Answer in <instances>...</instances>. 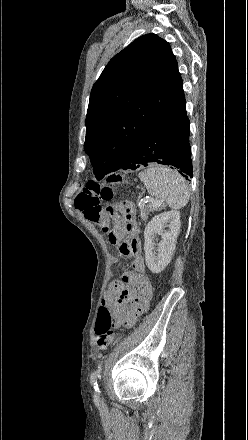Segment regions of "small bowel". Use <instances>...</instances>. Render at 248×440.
Masks as SVG:
<instances>
[{
    "label": "small bowel",
    "mask_w": 248,
    "mask_h": 440,
    "mask_svg": "<svg viewBox=\"0 0 248 440\" xmlns=\"http://www.w3.org/2000/svg\"><path fill=\"white\" fill-rule=\"evenodd\" d=\"M114 231L120 239L128 235L126 240L120 242L119 250L123 256L132 258V273H124L121 280L112 282L102 304L115 311L114 327L122 326L124 331H131L139 316L149 308L152 287L141 254L140 228L135 222L130 203H123L122 218L116 220Z\"/></svg>",
    "instance_id": "small-bowel-1"
}]
</instances>
